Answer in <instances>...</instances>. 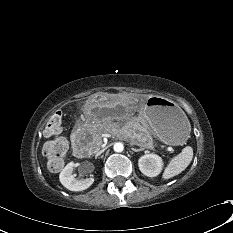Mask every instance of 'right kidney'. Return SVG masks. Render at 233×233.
Instances as JSON below:
<instances>
[{
  "instance_id": "obj_1",
  "label": "right kidney",
  "mask_w": 233,
  "mask_h": 233,
  "mask_svg": "<svg viewBox=\"0 0 233 233\" xmlns=\"http://www.w3.org/2000/svg\"><path fill=\"white\" fill-rule=\"evenodd\" d=\"M74 167V162H70L64 167L59 175L61 184L71 191H82L90 187L94 182V178H75L73 175Z\"/></svg>"
}]
</instances>
